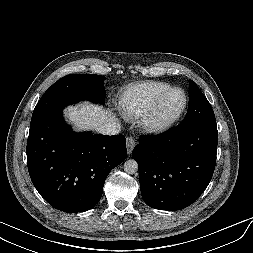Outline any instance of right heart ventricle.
<instances>
[{"label": "right heart ventricle", "mask_w": 253, "mask_h": 253, "mask_svg": "<svg viewBox=\"0 0 253 253\" xmlns=\"http://www.w3.org/2000/svg\"><path fill=\"white\" fill-rule=\"evenodd\" d=\"M171 85L162 81H144L127 87L119 96V109L128 120L142 117L154 100Z\"/></svg>", "instance_id": "obj_1"}]
</instances>
